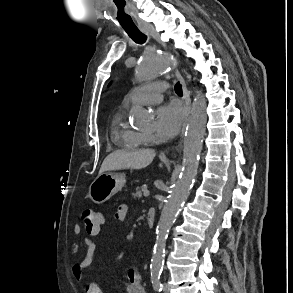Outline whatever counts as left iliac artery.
I'll return each mask as SVG.
<instances>
[{
    "instance_id": "44dca946",
    "label": "left iliac artery",
    "mask_w": 293,
    "mask_h": 293,
    "mask_svg": "<svg viewBox=\"0 0 293 293\" xmlns=\"http://www.w3.org/2000/svg\"><path fill=\"white\" fill-rule=\"evenodd\" d=\"M162 273L161 269H152L151 270V282L155 291L161 292L163 285L160 282V275Z\"/></svg>"
}]
</instances>
